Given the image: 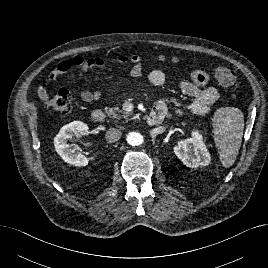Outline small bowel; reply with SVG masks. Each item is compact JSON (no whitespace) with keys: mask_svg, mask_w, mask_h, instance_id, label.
Here are the masks:
<instances>
[{"mask_svg":"<svg viewBox=\"0 0 268 268\" xmlns=\"http://www.w3.org/2000/svg\"><path fill=\"white\" fill-rule=\"evenodd\" d=\"M121 62L130 63V74L134 79L141 78L144 74L143 62L141 57L137 55L120 56ZM106 67V63L100 57L91 56H74L60 61L56 68L49 75L48 80H54L58 76L68 73L74 68H78L83 74L93 73L99 69ZM42 81L38 87V95L42 99L47 93V82ZM149 82L157 87L163 86L166 83V75L162 70L154 69L148 74ZM209 75L202 70H195L191 73V80H183L180 84L181 91L184 95L192 99L189 109L197 115L206 114L209 112L219 98L218 91L215 87L208 85ZM102 96L100 89L93 91L86 90L81 94V98L85 102H92ZM154 111H162L166 114L167 105L165 102H158ZM181 112V110H178Z\"/></svg>","mask_w":268,"mask_h":268,"instance_id":"1","label":"small bowel"}]
</instances>
